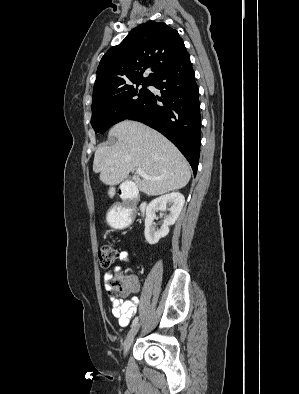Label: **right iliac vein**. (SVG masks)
Returning <instances> with one entry per match:
<instances>
[{"label":"right iliac vein","mask_w":299,"mask_h":394,"mask_svg":"<svg viewBox=\"0 0 299 394\" xmlns=\"http://www.w3.org/2000/svg\"><path fill=\"white\" fill-rule=\"evenodd\" d=\"M139 330V324L134 325L131 330L128 332L125 342H124V349H123V353L124 355H126L130 349V346L134 340L135 335L137 334Z\"/></svg>","instance_id":"right-iliac-vein-1"}]
</instances>
